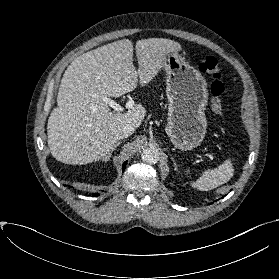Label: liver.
<instances>
[{
	"label": "liver",
	"mask_w": 279,
	"mask_h": 279,
	"mask_svg": "<svg viewBox=\"0 0 279 279\" xmlns=\"http://www.w3.org/2000/svg\"><path fill=\"white\" fill-rule=\"evenodd\" d=\"M133 44L118 40L77 57L66 69L57 95V107L47 124L52 156L67 164H87L106 157L124 126L138 128L146 114L141 104L127 112L111 111L105 97L118 98L147 85L163 68L168 53L179 43L164 38L136 42L139 68L133 65Z\"/></svg>",
	"instance_id": "1"
}]
</instances>
